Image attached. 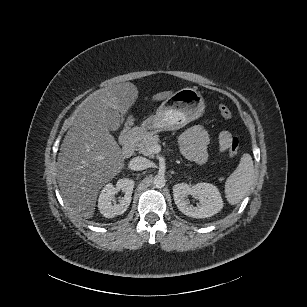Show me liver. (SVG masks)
I'll list each match as a JSON object with an SVG mask.
<instances>
[{
    "mask_svg": "<svg viewBox=\"0 0 307 307\" xmlns=\"http://www.w3.org/2000/svg\"><path fill=\"white\" fill-rule=\"evenodd\" d=\"M161 92L155 100L167 98ZM137 88L131 82L95 91L80 104L57 161V180L74 212L91 218L98 190L123 167L121 150L109 130L120 123L119 112L131 105Z\"/></svg>",
    "mask_w": 307,
    "mask_h": 307,
    "instance_id": "obj_1",
    "label": "liver"
}]
</instances>
